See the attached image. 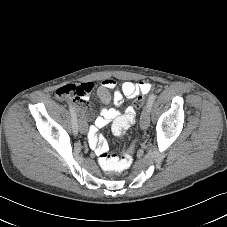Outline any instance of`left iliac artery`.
<instances>
[{"mask_svg":"<svg viewBox=\"0 0 227 227\" xmlns=\"http://www.w3.org/2000/svg\"><path fill=\"white\" fill-rule=\"evenodd\" d=\"M155 97L156 96L153 93L149 96V99H148V102H147V106L149 107L150 110H151V107H152L153 102L155 100Z\"/></svg>","mask_w":227,"mask_h":227,"instance_id":"left-iliac-artery-1","label":"left iliac artery"}]
</instances>
